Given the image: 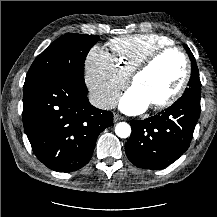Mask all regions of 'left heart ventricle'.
<instances>
[{"mask_svg": "<svg viewBox=\"0 0 217 217\" xmlns=\"http://www.w3.org/2000/svg\"><path fill=\"white\" fill-rule=\"evenodd\" d=\"M183 73L181 56L175 52L168 53L140 75L133 87L152 104L170 96L178 88Z\"/></svg>", "mask_w": 217, "mask_h": 217, "instance_id": "left-heart-ventricle-1", "label": "left heart ventricle"}]
</instances>
